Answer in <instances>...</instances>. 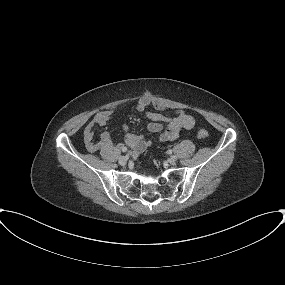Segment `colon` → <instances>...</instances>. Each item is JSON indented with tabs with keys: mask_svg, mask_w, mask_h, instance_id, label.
<instances>
[{
	"mask_svg": "<svg viewBox=\"0 0 285 285\" xmlns=\"http://www.w3.org/2000/svg\"><path fill=\"white\" fill-rule=\"evenodd\" d=\"M197 135L199 139L204 140L208 137V132L205 129H200Z\"/></svg>",
	"mask_w": 285,
	"mask_h": 285,
	"instance_id": "colon-1",
	"label": "colon"
}]
</instances>
